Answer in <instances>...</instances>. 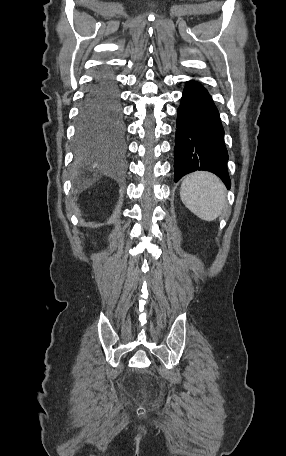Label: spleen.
I'll return each instance as SVG.
<instances>
[{
    "label": "spleen",
    "mask_w": 286,
    "mask_h": 456,
    "mask_svg": "<svg viewBox=\"0 0 286 456\" xmlns=\"http://www.w3.org/2000/svg\"><path fill=\"white\" fill-rule=\"evenodd\" d=\"M183 204L204 221H213L222 215L227 205L226 189L214 174L198 171L187 175L181 184Z\"/></svg>",
    "instance_id": "obj_1"
}]
</instances>
